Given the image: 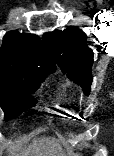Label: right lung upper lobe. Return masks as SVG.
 I'll list each match as a JSON object with an SVG mask.
<instances>
[{
  "mask_svg": "<svg viewBox=\"0 0 114 156\" xmlns=\"http://www.w3.org/2000/svg\"><path fill=\"white\" fill-rule=\"evenodd\" d=\"M55 70L38 36L17 31L4 36L0 48V78L47 76Z\"/></svg>",
  "mask_w": 114,
  "mask_h": 156,
  "instance_id": "right-lung-upper-lobe-1",
  "label": "right lung upper lobe"
}]
</instances>
